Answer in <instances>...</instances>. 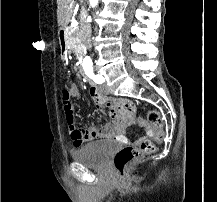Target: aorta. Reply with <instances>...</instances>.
I'll return each mask as SVG.
<instances>
[{
	"instance_id": "762f6f07",
	"label": "aorta",
	"mask_w": 217,
	"mask_h": 202,
	"mask_svg": "<svg viewBox=\"0 0 217 202\" xmlns=\"http://www.w3.org/2000/svg\"><path fill=\"white\" fill-rule=\"evenodd\" d=\"M98 2L99 0H89L91 8H96V6H98Z\"/></svg>"
}]
</instances>
